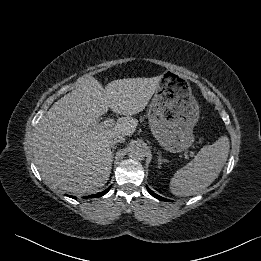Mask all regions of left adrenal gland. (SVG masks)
<instances>
[{
    "instance_id": "1",
    "label": "left adrenal gland",
    "mask_w": 261,
    "mask_h": 261,
    "mask_svg": "<svg viewBox=\"0 0 261 261\" xmlns=\"http://www.w3.org/2000/svg\"><path fill=\"white\" fill-rule=\"evenodd\" d=\"M163 162L165 163V162H167V160L162 158L160 151H158V166H159V168H160V166Z\"/></svg>"
}]
</instances>
